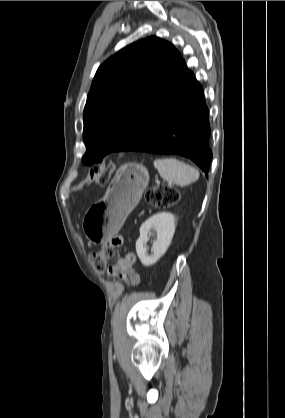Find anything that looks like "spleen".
Here are the masks:
<instances>
[{"mask_svg":"<svg viewBox=\"0 0 285 418\" xmlns=\"http://www.w3.org/2000/svg\"><path fill=\"white\" fill-rule=\"evenodd\" d=\"M154 166L163 179L180 186L189 185L199 179L198 170L175 158L156 159Z\"/></svg>","mask_w":285,"mask_h":418,"instance_id":"obj_1","label":"spleen"}]
</instances>
